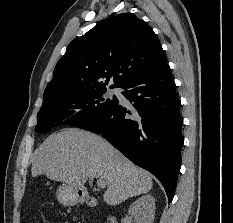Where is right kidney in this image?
I'll return each instance as SVG.
<instances>
[{
    "label": "right kidney",
    "instance_id": "1",
    "mask_svg": "<svg viewBox=\"0 0 233 223\" xmlns=\"http://www.w3.org/2000/svg\"><path fill=\"white\" fill-rule=\"evenodd\" d=\"M155 199L153 195H141L129 207V213L135 223H153L155 217Z\"/></svg>",
    "mask_w": 233,
    "mask_h": 223
}]
</instances>
